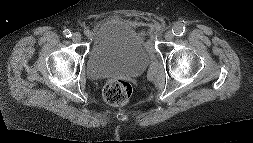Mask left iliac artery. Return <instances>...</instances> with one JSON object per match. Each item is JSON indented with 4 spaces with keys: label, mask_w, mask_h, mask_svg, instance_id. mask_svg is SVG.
Wrapping results in <instances>:
<instances>
[{
    "label": "left iliac artery",
    "mask_w": 253,
    "mask_h": 143,
    "mask_svg": "<svg viewBox=\"0 0 253 143\" xmlns=\"http://www.w3.org/2000/svg\"><path fill=\"white\" fill-rule=\"evenodd\" d=\"M172 31L174 35L180 37L185 33V27L175 26Z\"/></svg>",
    "instance_id": "left-iliac-artery-1"
}]
</instances>
